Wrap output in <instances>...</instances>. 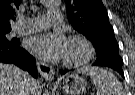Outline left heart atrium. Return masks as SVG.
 I'll list each match as a JSON object with an SVG mask.
<instances>
[{
  "label": "left heart atrium",
  "mask_w": 135,
  "mask_h": 95,
  "mask_svg": "<svg viewBox=\"0 0 135 95\" xmlns=\"http://www.w3.org/2000/svg\"><path fill=\"white\" fill-rule=\"evenodd\" d=\"M26 47L40 58L57 61L66 57L68 41L60 32H47L29 38Z\"/></svg>",
  "instance_id": "39dd6f15"
}]
</instances>
